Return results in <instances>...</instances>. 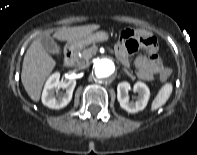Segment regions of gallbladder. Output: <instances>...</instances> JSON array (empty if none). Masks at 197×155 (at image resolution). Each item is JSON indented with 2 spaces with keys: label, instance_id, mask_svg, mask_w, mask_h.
<instances>
[{
  "label": "gallbladder",
  "instance_id": "obj_1",
  "mask_svg": "<svg viewBox=\"0 0 197 155\" xmlns=\"http://www.w3.org/2000/svg\"><path fill=\"white\" fill-rule=\"evenodd\" d=\"M41 44L46 52L55 55L60 54V48L57 45V43L53 40V38L48 36H43L41 38Z\"/></svg>",
  "mask_w": 197,
  "mask_h": 155
}]
</instances>
